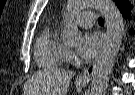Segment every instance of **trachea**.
Masks as SVG:
<instances>
[{
    "instance_id": "1",
    "label": "trachea",
    "mask_w": 135,
    "mask_h": 95,
    "mask_svg": "<svg viewBox=\"0 0 135 95\" xmlns=\"http://www.w3.org/2000/svg\"><path fill=\"white\" fill-rule=\"evenodd\" d=\"M98 21H99V24H100V25H104V20H103L102 17H99V20H98Z\"/></svg>"
}]
</instances>
